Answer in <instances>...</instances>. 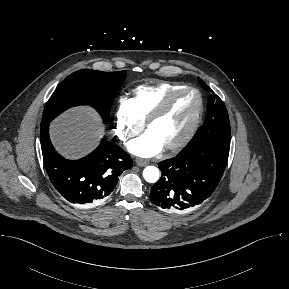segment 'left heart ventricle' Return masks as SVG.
I'll return each mask as SVG.
<instances>
[{
	"label": "left heart ventricle",
	"mask_w": 289,
	"mask_h": 289,
	"mask_svg": "<svg viewBox=\"0 0 289 289\" xmlns=\"http://www.w3.org/2000/svg\"><path fill=\"white\" fill-rule=\"evenodd\" d=\"M198 107V98L193 92L177 96L167 111L148 129L163 146L179 140L189 128Z\"/></svg>",
	"instance_id": "left-heart-ventricle-1"
}]
</instances>
